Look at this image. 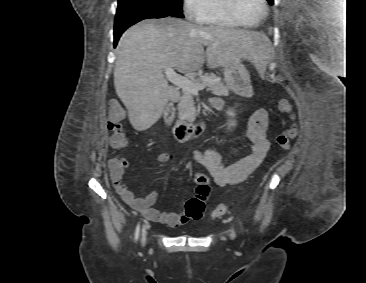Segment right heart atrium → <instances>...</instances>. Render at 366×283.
Segmentation results:
<instances>
[{
    "label": "right heart atrium",
    "instance_id": "right-heart-atrium-1",
    "mask_svg": "<svg viewBox=\"0 0 366 283\" xmlns=\"http://www.w3.org/2000/svg\"><path fill=\"white\" fill-rule=\"evenodd\" d=\"M209 0H182L185 14L194 20H200L206 13Z\"/></svg>",
    "mask_w": 366,
    "mask_h": 283
}]
</instances>
